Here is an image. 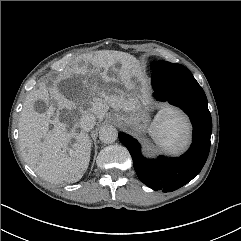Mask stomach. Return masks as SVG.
<instances>
[{
  "label": "stomach",
  "mask_w": 241,
  "mask_h": 241,
  "mask_svg": "<svg viewBox=\"0 0 241 241\" xmlns=\"http://www.w3.org/2000/svg\"><path fill=\"white\" fill-rule=\"evenodd\" d=\"M126 82L125 80H117L116 83L112 84L113 88H119L121 83ZM113 93V92H112ZM152 111V107L148 101L141 98L136 109L127 114H116L115 120L121 123L123 126L129 127L133 131L143 132L148 128L149 124V113Z\"/></svg>",
  "instance_id": "0dacf381"
}]
</instances>
